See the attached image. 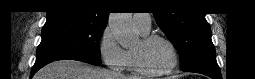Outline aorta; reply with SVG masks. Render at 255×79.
<instances>
[{"label": "aorta", "mask_w": 255, "mask_h": 79, "mask_svg": "<svg viewBox=\"0 0 255 79\" xmlns=\"http://www.w3.org/2000/svg\"><path fill=\"white\" fill-rule=\"evenodd\" d=\"M108 25L117 42L122 47H129L136 39L131 13H111Z\"/></svg>", "instance_id": "aorta-1"}]
</instances>
